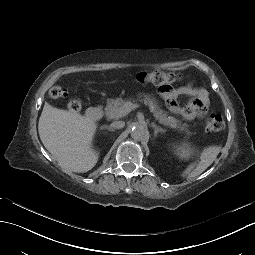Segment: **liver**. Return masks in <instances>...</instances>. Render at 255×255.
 <instances>
[{
	"mask_svg": "<svg viewBox=\"0 0 255 255\" xmlns=\"http://www.w3.org/2000/svg\"><path fill=\"white\" fill-rule=\"evenodd\" d=\"M98 128L94 120L80 113L57 109L45 102L39 119V137L62 168L75 173L93 169L99 153L93 149Z\"/></svg>",
	"mask_w": 255,
	"mask_h": 255,
	"instance_id": "obj_1",
	"label": "liver"
}]
</instances>
